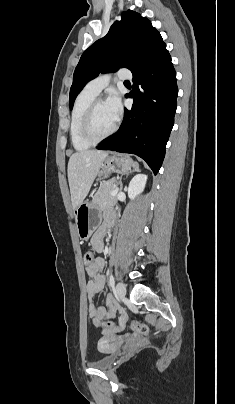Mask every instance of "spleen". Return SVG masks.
<instances>
[{
	"label": "spleen",
	"mask_w": 235,
	"mask_h": 404,
	"mask_svg": "<svg viewBox=\"0 0 235 404\" xmlns=\"http://www.w3.org/2000/svg\"><path fill=\"white\" fill-rule=\"evenodd\" d=\"M137 166H138V164L136 162H134V167H137Z\"/></svg>",
	"instance_id": "spleen-1"
}]
</instances>
